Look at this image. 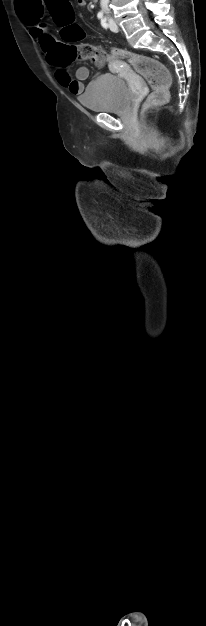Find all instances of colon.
I'll list each match as a JSON object with an SVG mask.
<instances>
[{
	"label": "colon",
	"mask_w": 206,
	"mask_h": 626,
	"mask_svg": "<svg viewBox=\"0 0 206 626\" xmlns=\"http://www.w3.org/2000/svg\"><path fill=\"white\" fill-rule=\"evenodd\" d=\"M55 22L61 27L62 37L67 41L82 38L83 30L75 23V15L70 0H46ZM116 58L127 60L152 88L151 93L143 104L146 111L155 106L164 104L168 99L170 75L165 65L152 57L135 55L119 48L111 49ZM108 53L99 46L92 44H58L54 48L53 60L58 66H66L77 59L90 60L97 66H102Z\"/></svg>",
	"instance_id": "1"
}]
</instances>
